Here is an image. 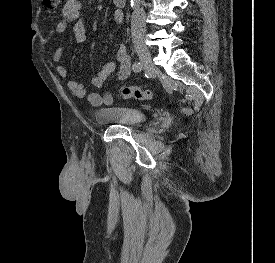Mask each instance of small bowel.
Segmentation results:
<instances>
[{"label": "small bowel", "mask_w": 275, "mask_h": 263, "mask_svg": "<svg viewBox=\"0 0 275 263\" xmlns=\"http://www.w3.org/2000/svg\"><path fill=\"white\" fill-rule=\"evenodd\" d=\"M113 21L117 24L122 22L123 14L115 10L112 14ZM72 25V33L77 43H83L86 40V28L81 19V3L79 0H67L62 8V18L56 26V32L62 35L68 26ZM63 49L59 44L53 53V61L57 63V73L62 78L68 77V70L65 65L61 64ZM116 72L115 87L127 79L132 72L130 56L124 45H121L116 53V62H106L91 79V84L95 88H102L107 78ZM69 90L79 99H87L90 105L94 107L109 106L113 103V95L110 91L102 93L88 91L81 83L74 79L67 81Z\"/></svg>", "instance_id": "c3829d8e"}]
</instances>
